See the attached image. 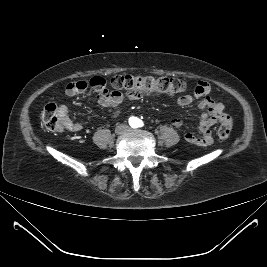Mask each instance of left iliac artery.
<instances>
[{"mask_svg": "<svg viewBox=\"0 0 267 267\" xmlns=\"http://www.w3.org/2000/svg\"><path fill=\"white\" fill-rule=\"evenodd\" d=\"M137 124H138L137 127H141V126H143V122L140 121V120H138V123H137Z\"/></svg>", "mask_w": 267, "mask_h": 267, "instance_id": "left-iliac-artery-1", "label": "left iliac artery"}]
</instances>
